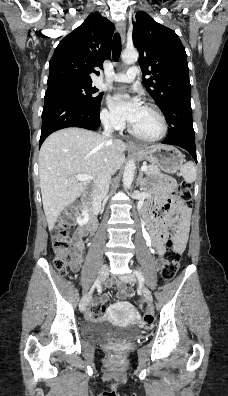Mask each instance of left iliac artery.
Instances as JSON below:
<instances>
[{"label": "left iliac artery", "mask_w": 228, "mask_h": 396, "mask_svg": "<svg viewBox=\"0 0 228 396\" xmlns=\"http://www.w3.org/2000/svg\"><path fill=\"white\" fill-rule=\"evenodd\" d=\"M134 274L137 276V278H138V280L141 282V283H143L144 282V276H143V274L140 272V271H137V270H135L134 271Z\"/></svg>", "instance_id": "1"}]
</instances>
